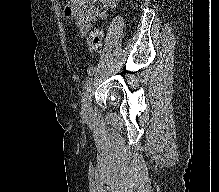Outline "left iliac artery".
Listing matches in <instances>:
<instances>
[{
	"instance_id": "obj_1",
	"label": "left iliac artery",
	"mask_w": 219,
	"mask_h": 192,
	"mask_svg": "<svg viewBox=\"0 0 219 192\" xmlns=\"http://www.w3.org/2000/svg\"><path fill=\"white\" fill-rule=\"evenodd\" d=\"M92 82H93L92 77H89L85 80V82H84V94L85 95H88V92L90 90V85L92 84Z\"/></svg>"
}]
</instances>
